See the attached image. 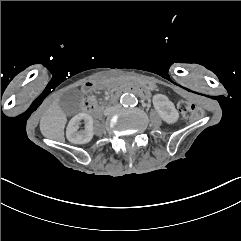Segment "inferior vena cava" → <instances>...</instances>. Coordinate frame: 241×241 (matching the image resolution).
<instances>
[{
	"label": "inferior vena cava",
	"mask_w": 241,
	"mask_h": 241,
	"mask_svg": "<svg viewBox=\"0 0 241 241\" xmlns=\"http://www.w3.org/2000/svg\"><path fill=\"white\" fill-rule=\"evenodd\" d=\"M113 108H114V107H109V108H107V109L104 111V115H105V116H108V115L113 111Z\"/></svg>",
	"instance_id": "1"
}]
</instances>
